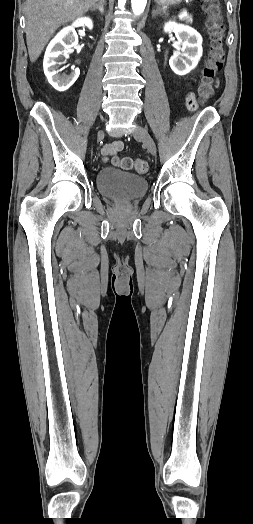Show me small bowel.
<instances>
[{
  "instance_id": "1",
  "label": "small bowel",
  "mask_w": 253,
  "mask_h": 524,
  "mask_svg": "<svg viewBox=\"0 0 253 524\" xmlns=\"http://www.w3.org/2000/svg\"><path fill=\"white\" fill-rule=\"evenodd\" d=\"M183 99L184 104L188 110H194L195 112H198L200 110V107L198 106V97L196 96L195 89H186ZM123 146L124 144L120 140L114 141L110 144L103 146L101 149L103 159L106 161L109 159V157L118 154L123 149Z\"/></svg>"
}]
</instances>
